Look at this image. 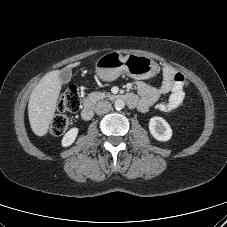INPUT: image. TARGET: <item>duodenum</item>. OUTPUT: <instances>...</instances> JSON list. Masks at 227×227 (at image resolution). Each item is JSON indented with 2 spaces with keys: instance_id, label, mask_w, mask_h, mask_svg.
Listing matches in <instances>:
<instances>
[{
  "instance_id": "obj_1",
  "label": "duodenum",
  "mask_w": 227,
  "mask_h": 227,
  "mask_svg": "<svg viewBox=\"0 0 227 227\" xmlns=\"http://www.w3.org/2000/svg\"><path fill=\"white\" fill-rule=\"evenodd\" d=\"M111 100H123L127 103L129 107H136L138 100L133 94H117L111 95ZM94 103L92 100H87L84 103L83 109L81 111V116L84 120H90L93 117Z\"/></svg>"
}]
</instances>
